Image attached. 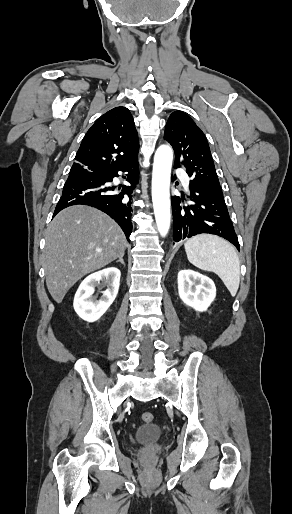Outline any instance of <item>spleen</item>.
<instances>
[{"label": "spleen", "mask_w": 292, "mask_h": 514, "mask_svg": "<svg viewBox=\"0 0 292 514\" xmlns=\"http://www.w3.org/2000/svg\"><path fill=\"white\" fill-rule=\"evenodd\" d=\"M184 248L190 264L204 272L217 274L231 296H236L240 284V262L234 246L219 236L199 234L187 240Z\"/></svg>", "instance_id": "3e777b00"}]
</instances>
